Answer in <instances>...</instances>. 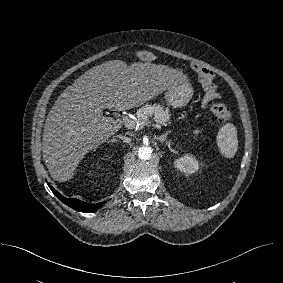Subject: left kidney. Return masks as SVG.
I'll use <instances>...</instances> for the list:
<instances>
[{
	"label": "left kidney",
	"instance_id": "obj_1",
	"mask_svg": "<svg viewBox=\"0 0 283 283\" xmlns=\"http://www.w3.org/2000/svg\"><path fill=\"white\" fill-rule=\"evenodd\" d=\"M174 165L181 172H185L188 174L195 173L199 169L198 161L189 154H186L175 160Z\"/></svg>",
	"mask_w": 283,
	"mask_h": 283
}]
</instances>
